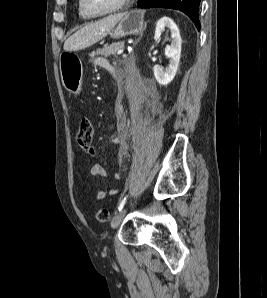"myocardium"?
Instances as JSON below:
<instances>
[{
  "label": "myocardium",
  "instance_id": "obj_1",
  "mask_svg": "<svg viewBox=\"0 0 267 298\" xmlns=\"http://www.w3.org/2000/svg\"><path fill=\"white\" fill-rule=\"evenodd\" d=\"M133 0H122L119 5L114 8L111 11L108 12H104V13H99V14H95V13H91L89 12L84 4V0H79V7L81 9V11L84 13V15H86L87 17L90 18H100V17H105V16H109V15H113V14H117L120 12H123L132 2Z\"/></svg>",
  "mask_w": 267,
  "mask_h": 298
}]
</instances>
